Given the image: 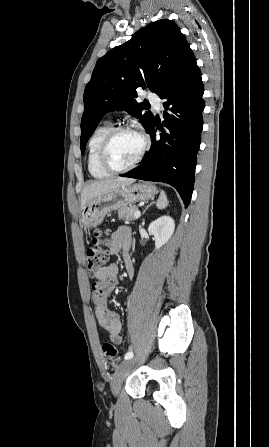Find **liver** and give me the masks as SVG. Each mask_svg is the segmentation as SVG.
Returning <instances> with one entry per match:
<instances>
[{"label":"liver","mask_w":269,"mask_h":447,"mask_svg":"<svg viewBox=\"0 0 269 447\" xmlns=\"http://www.w3.org/2000/svg\"><path fill=\"white\" fill-rule=\"evenodd\" d=\"M135 180L132 178H117V180H93L89 182L81 194V210H84L87 202L94 200L97 196L107 194L111 190H117L120 186H130Z\"/></svg>","instance_id":"liver-1"}]
</instances>
